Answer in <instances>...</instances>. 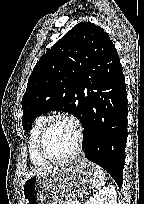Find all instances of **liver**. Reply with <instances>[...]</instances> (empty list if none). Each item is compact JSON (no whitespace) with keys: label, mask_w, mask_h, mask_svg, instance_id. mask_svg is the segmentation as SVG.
Masks as SVG:
<instances>
[{"label":"liver","mask_w":144,"mask_h":204,"mask_svg":"<svg viewBox=\"0 0 144 204\" xmlns=\"http://www.w3.org/2000/svg\"><path fill=\"white\" fill-rule=\"evenodd\" d=\"M51 169H52V167H45V168H38V169H33V170L29 171V172L25 175L22 184L25 183V181H26L29 177H31V176H33V175H39V174L46 173L47 171H49V170H51Z\"/></svg>","instance_id":"obj_1"}]
</instances>
